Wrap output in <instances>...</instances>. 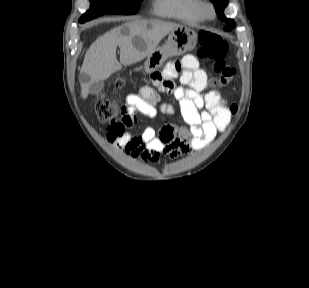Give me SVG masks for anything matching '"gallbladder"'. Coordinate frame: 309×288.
<instances>
[{"mask_svg": "<svg viewBox=\"0 0 309 288\" xmlns=\"http://www.w3.org/2000/svg\"><path fill=\"white\" fill-rule=\"evenodd\" d=\"M104 88V82L98 81L89 86V93L92 95H98Z\"/></svg>", "mask_w": 309, "mask_h": 288, "instance_id": "1", "label": "gallbladder"}]
</instances>
